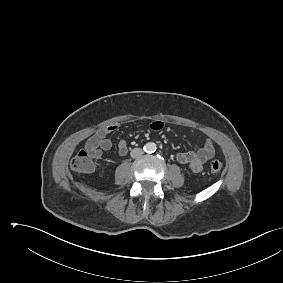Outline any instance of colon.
<instances>
[{"label": "colon", "instance_id": "1", "mask_svg": "<svg viewBox=\"0 0 283 283\" xmlns=\"http://www.w3.org/2000/svg\"><path fill=\"white\" fill-rule=\"evenodd\" d=\"M70 166L75 172H91L94 168V164L90 151L87 148H83L78 151V153L71 160ZM210 170L212 173H219L222 170V163L218 160L212 161L210 164Z\"/></svg>", "mask_w": 283, "mask_h": 283}]
</instances>
